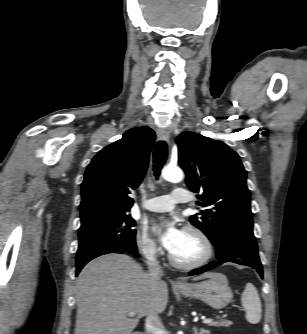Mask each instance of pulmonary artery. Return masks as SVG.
Returning <instances> with one entry per match:
<instances>
[{"label": "pulmonary artery", "instance_id": "obj_1", "mask_svg": "<svg viewBox=\"0 0 307 334\" xmlns=\"http://www.w3.org/2000/svg\"><path fill=\"white\" fill-rule=\"evenodd\" d=\"M189 200L185 189L176 188L170 194L152 197L145 202L144 207L152 212H166L173 209L175 204Z\"/></svg>", "mask_w": 307, "mask_h": 334}]
</instances>
